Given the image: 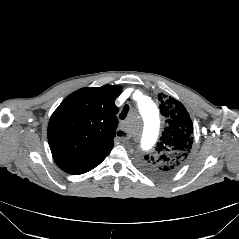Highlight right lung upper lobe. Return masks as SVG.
<instances>
[{
    "label": "right lung upper lobe",
    "mask_w": 239,
    "mask_h": 239,
    "mask_svg": "<svg viewBox=\"0 0 239 239\" xmlns=\"http://www.w3.org/2000/svg\"><path fill=\"white\" fill-rule=\"evenodd\" d=\"M117 85L82 88L66 97L48 124V142L57 165L78 175L98 166L110 153L118 125Z\"/></svg>",
    "instance_id": "cb5924a9"
}]
</instances>
